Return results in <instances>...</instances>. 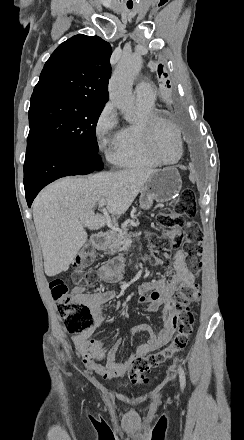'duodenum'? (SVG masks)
Returning a JSON list of instances; mask_svg holds the SVG:
<instances>
[{
  "label": "duodenum",
  "mask_w": 244,
  "mask_h": 440,
  "mask_svg": "<svg viewBox=\"0 0 244 440\" xmlns=\"http://www.w3.org/2000/svg\"><path fill=\"white\" fill-rule=\"evenodd\" d=\"M92 245L99 250L105 249L106 247V234L96 233L91 238Z\"/></svg>",
  "instance_id": "duodenum-1"
}]
</instances>
